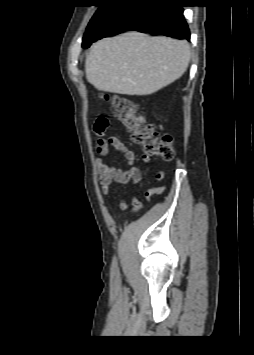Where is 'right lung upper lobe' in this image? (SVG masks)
I'll return each instance as SVG.
<instances>
[{
  "mask_svg": "<svg viewBox=\"0 0 254 355\" xmlns=\"http://www.w3.org/2000/svg\"><path fill=\"white\" fill-rule=\"evenodd\" d=\"M103 3H115V4H123V3H129L133 2L136 0H100Z\"/></svg>",
  "mask_w": 254,
  "mask_h": 355,
  "instance_id": "1",
  "label": "right lung upper lobe"
}]
</instances>
